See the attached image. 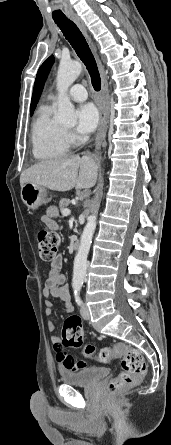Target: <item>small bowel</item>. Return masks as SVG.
Here are the masks:
<instances>
[{
    "label": "small bowel",
    "instance_id": "c3829d8e",
    "mask_svg": "<svg viewBox=\"0 0 171 445\" xmlns=\"http://www.w3.org/2000/svg\"><path fill=\"white\" fill-rule=\"evenodd\" d=\"M44 223L51 230H56L58 228L57 223L51 218L50 213H47ZM62 264L63 260L61 256H57L52 260L49 274L43 287V294L45 296L44 312L46 315L52 314L55 299L62 303L67 313H71L74 310L71 303L69 287L66 284V277L61 272ZM47 328L53 333L51 342L55 352L56 361L60 368L63 371H74L84 368L83 362L76 361L71 355L63 350L60 338L56 333V324L53 320L47 322Z\"/></svg>",
    "mask_w": 171,
    "mask_h": 445
}]
</instances>
